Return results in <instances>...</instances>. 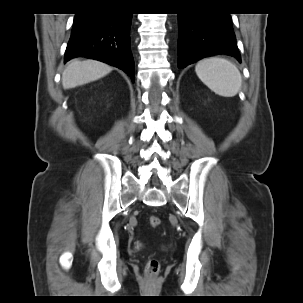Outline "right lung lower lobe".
<instances>
[{
  "mask_svg": "<svg viewBox=\"0 0 303 303\" xmlns=\"http://www.w3.org/2000/svg\"><path fill=\"white\" fill-rule=\"evenodd\" d=\"M131 20V13L103 8L76 14L65 61L75 57L99 60L123 70L134 82Z\"/></svg>",
  "mask_w": 303,
  "mask_h": 303,
  "instance_id": "1",
  "label": "right lung lower lobe"
}]
</instances>
